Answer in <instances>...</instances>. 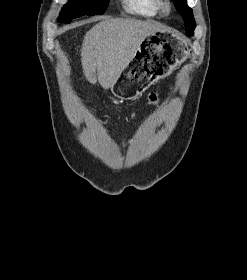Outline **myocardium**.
<instances>
[{"instance_id":"myocardium-1","label":"myocardium","mask_w":247,"mask_h":280,"mask_svg":"<svg viewBox=\"0 0 247 280\" xmlns=\"http://www.w3.org/2000/svg\"><path fill=\"white\" fill-rule=\"evenodd\" d=\"M172 8V3L169 0H160V10L163 14H170L172 12Z\"/></svg>"}]
</instances>
